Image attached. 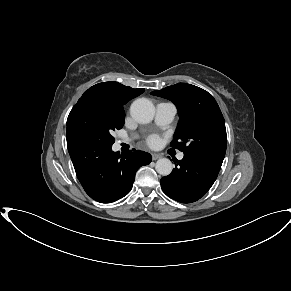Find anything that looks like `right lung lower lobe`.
<instances>
[{"label": "right lung lower lobe", "mask_w": 291, "mask_h": 291, "mask_svg": "<svg viewBox=\"0 0 291 291\" xmlns=\"http://www.w3.org/2000/svg\"><path fill=\"white\" fill-rule=\"evenodd\" d=\"M73 166L85 192L101 203L126 196L136 171L151 162L149 153L135 150L125 154L113 152L112 146L86 137H66Z\"/></svg>", "instance_id": "98d812e1"}]
</instances>
